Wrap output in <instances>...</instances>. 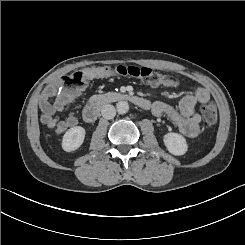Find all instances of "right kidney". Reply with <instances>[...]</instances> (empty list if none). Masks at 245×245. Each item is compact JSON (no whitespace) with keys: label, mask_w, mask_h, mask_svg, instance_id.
<instances>
[{"label":"right kidney","mask_w":245,"mask_h":245,"mask_svg":"<svg viewBox=\"0 0 245 245\" xmlns=\"http://www.w3.org/2000/svg\"><path fill=\"white\" fill-rule=\"evenodd\" d=\"M86 131L82 126H75L67 130L69 135V152L79 149L85 140Z\"/></svg>","instance_id":"right-kidney-1"}]
</instances>
